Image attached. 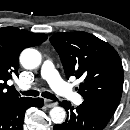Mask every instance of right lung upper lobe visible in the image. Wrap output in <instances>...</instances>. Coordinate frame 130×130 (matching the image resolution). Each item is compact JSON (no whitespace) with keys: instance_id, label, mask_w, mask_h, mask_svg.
Instances as JSON below:
<instances>
[{"instance_id":"cb5924a9","label":"right lung upper lobe","mask_w":130,"mask_h":130,"mask_svg":"<svg viewBox=\"0 0 130 130\" xmlns=\"http://www.w3.org/2000/svg\"><path fill=\"white\" fill-rule=\"evenodd\" d=\"M46 34L31 33L17 27L0 28V102L22 98L7 81L18 76V58L24 48L43 43Z\"/></svg>"}]
</instances>
